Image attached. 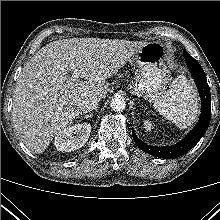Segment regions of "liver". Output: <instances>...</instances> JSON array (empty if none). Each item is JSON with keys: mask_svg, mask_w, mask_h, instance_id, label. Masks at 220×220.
<instances>
[{"mask_svg": "<svg viewBox=\"0 0 220 220\" xmlns=\"http://www.w3.org/2000/svg\"><path fill=\"white\" fill-rule=\"evenodd\" d=\"M146 43L70 38L42 47L24 66L13 95L12 120L21 141L40 154L81 114L89 96L105 98L107 79ZM75 65L81 79L72 81Z\"/></svg>", "mask_w": 220, "mask_h": 220, "instance_id": "1", "label": "liver"}]
</instances>
